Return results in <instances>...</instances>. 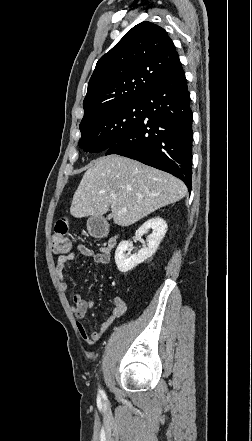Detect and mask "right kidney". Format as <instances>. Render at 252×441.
I'll return each mask as SVG.
<instances>
[{
	"mask_svg": "<svg viewBox=\"0 0 252 441\" xmlns=\"http://www.w3.org/2000/svg\"><path fill=\"white\" fill-rule=\"evenodd\" d=\"M149 229H152V233L147 237V247L142 248L138 254L126 255L125 252L128 250L129 241H121L119 243L115 251V262L120 272L126 273L132 270L155 253L166 234L167 223L160 217L151 218L136 231L135 235L142 236Z\"/></svg>",
	"mask_w": 252,
	"mask_h": 441,
	"instance_id": "right-kidney-1",
	"label": "right kidney"
}]
</instances>
